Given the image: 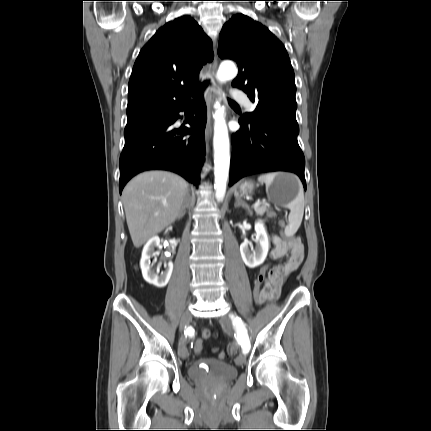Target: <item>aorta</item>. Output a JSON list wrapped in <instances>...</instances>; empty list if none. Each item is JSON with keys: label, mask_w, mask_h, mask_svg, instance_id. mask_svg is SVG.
I'll return each mask as SVG.
<instances>
[{"label": "aorta", "mask_w": 431, "mask_h": 431, "mask_svg": "<svg viewBox=\"0 0 431 431\" xmlns=\"http://www.w3.org/2000/svg\"><path fill=\"white\" fill-rule=\"evenodd\" d=\"M237 75L236 66L229 61L221 63L217 71V79L220 82L233 79ZM216 113L214 115V175L216 198L222 201L226 193V183L230 166V149L227 125L224 118V108L217 102L215 104Z\"/></svg>", "instance_id": "obj_1"}]
</instances>
